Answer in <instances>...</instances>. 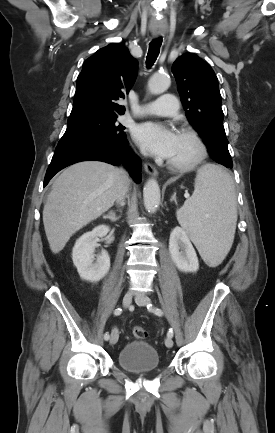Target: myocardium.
I'll return each instance as SVG.
<instances>
[{"label":"myocardium","mask_w":275,"mask_h":433,"mask_svg":"<svg viewBox=\"0 0 275 433\" xmlns=\"http://www.w3.org/2000/svg\"><path fill=\"white\" fill-rule=\"evenodd\" d=\"M179 133L189 136L194 140L198 148L197 156L187 164H177L167 160V166L170 169L177 172H181V173L191 172L194 169H196L198 166H200L201 163L205 160L208 152L207 145L203 137L200 135V133L193 128L183 127L180 129Z\"/></svg>","instance_id":"1"}]
</instances>
